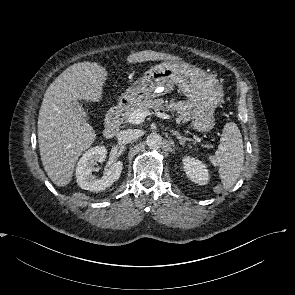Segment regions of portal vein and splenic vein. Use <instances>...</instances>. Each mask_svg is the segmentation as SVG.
Returning <instances> with one entry per match:
<instances>
[{"label": "portal vein and splenic vein", "instance_id": "1", "mask_svg": "<svg viewBox=\"0 0 295 295\" xmlns=\"http://www.w3.org/2000/svg\"><path fill=\"white\" fill-rule=\"evenodd\" d=\"M150 115L149 111H143V110H135L133 113L130 114V116L128 117L127 121L131 124H141L144 119ZM159 116H161L162 118H169L168 115L163 114V113H158Z\"/></svg>", "mask_w": 295, "mask_h": 295}]
</instances>
